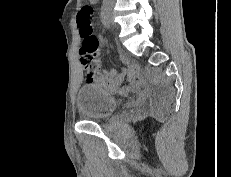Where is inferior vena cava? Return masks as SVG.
Masks as SVG:
<instances>
[{
	"label": "inferior vena cava",
	"mask_w": 231,
	"mask_h": 177,
	"mask_svg": "<svg viewBox=\"0 0 231 177\" xmlns=\"http://www.w3.org/2000/svg\"><path fill=\"white\" fill-rule=\"evenodd\" d=\"M105 1H108V2H113L114 0H105Z\"/></svg>",
	"instance_id": "inferior-vena-cava-1"
}]
</instances>
